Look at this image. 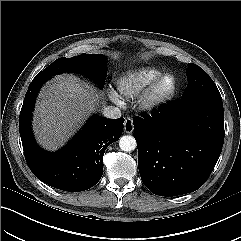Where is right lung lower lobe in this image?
<instances>
[{"mask_svg": "<svg viewBox=\"0 0 241 241\" xmlns=\"http://www.w3.org/2000/svg\"><path fill=\"white\" fill-rule=\"evenodd\" d=\"M44 82H31L20 112L19 130L25 159L32 173L52 187L70 192L87 190L100 180L102 157L107 146L121 136L124 118L93 116L60 151H44L35 142L31 129L35 97Z\"/></svg>", "mask_w": 241, "mask_h": 241, "instance_id": "obj_1", "label": "right lung lower lobe"}]
</instances>
